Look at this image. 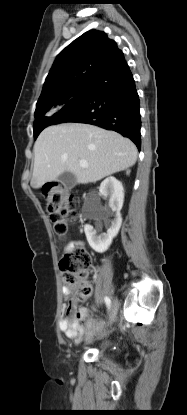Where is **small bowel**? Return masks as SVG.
Returning a JSON list of instances; mask_svg holds the SVG:
<instances>
[{
    "label": "small bowel",
    "mask_w": 187,
    "mask_h": 415,
    "mask_svg": "<svg viewBox=\"0 0 187 415\" xmlns=\"http://www.w3.org/2000/svg\"><path fill=\"white\" fill-rule=\"evenodd\" d=\"M81 245H83L81 241H72L66 245L65 250L69 251ZM95 310V306L90 309L86 307L77 309L74 303L68 304L64 308V317L60 321V329L68 338L73 339L75 343H79L84 334H89L94 322L91 314Z\"/></svg>",
    "instance_id": "c3829d8e"
}]
</instances>
